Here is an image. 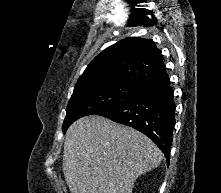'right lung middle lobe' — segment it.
<instances>
[{
  "label": "right lung middle lobe",
  "mask_w": 221,
  "mask_h": 193,
  "mask_svg": "<svg viewBox=\"0 0 221 193\" xmlns=\"http://www.w3.org/2000/svg\"><path fill=\"white\" fill-rule=\"evenodd\" d=\"M141 87L142 85L136 83L118 82L74 90L67 105L63 133L81 117L102 113L128 101Z\"/></svg>",
  "instance_id": "obj_1"
}]
</instances>
